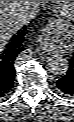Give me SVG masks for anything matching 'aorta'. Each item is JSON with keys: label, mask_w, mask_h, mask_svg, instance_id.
<instances>
[{"label": "aorta", "mask_w": 74, "mask_h": 122, "mask_svg": "<svg viewBox=\"0 0 74 122\" xmlns=\"http://www.w3.org/2000/svg\"><path fill=\"white\" fill-rule=\"evenodd\" d=\"M48 71L54 75H65L69 69V61L62 55H52L47 59Z\"/></svg>", "instance_id": "1"}]
</instances>
